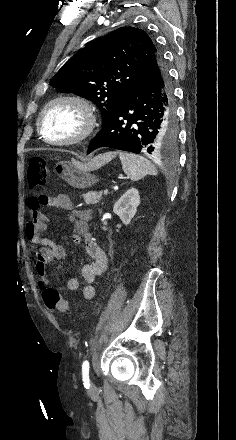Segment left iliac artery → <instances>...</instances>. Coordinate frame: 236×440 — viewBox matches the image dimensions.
I'll return each instance as SVG.
<instances>
[{"instance_id":"obj_1","label":"left iliac artery","mask_w":236,"mask_h":440,"mask_svg":"<svg viewBox=\"0 0 236 440\" xmlns=\"http://www.w3.org/2000/svg\"><path fill=\"white\" fill-rule=\"evenodd\" d=\"M82 378L84 382V387L88 389L90 387L89 380V362L86 360L82 364Z\"/></svg>"}]
</instances>
